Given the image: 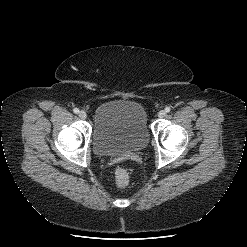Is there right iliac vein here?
Masks as SVG:
<instances>
[{
	"label": "right iliac vein",
	"instance_id": "1",
	"mask_svg": "<svg viewBox=\"0 0 247 247\" xmlns=\"http://www.w3.org/2000/svg\"><path fill=\"white\" fill-rule=\"evenodd\" d=\"M79 117H80L81 119H86V118H87V113H86L84 110H81V111L79 112Z\"/></svg>",
	"mask_w": 247,
	"mask_h": 247
}]
</instances>
